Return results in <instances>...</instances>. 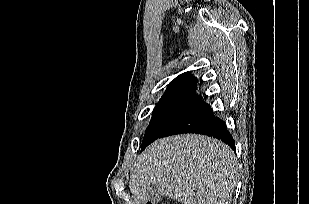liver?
<instances>
[{"instance_id":"liver-1","label":"liver","mask_w":309,"mask_h":204,"mask_svg":"<svg viewBox=\"0 0 309 204\" xmlns=\"http://www.w3.org/2000/svg\"><path fill=\"white\" fill-rule=\"evenodd\" d=\"M233 151L221 141L195 134L152 143L132 169L129 189L135 201H149L155 183L182 204H230L237 185Z\"/></svg>"}]
</instances>
